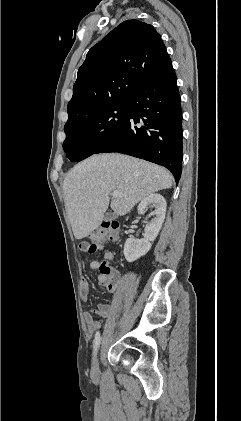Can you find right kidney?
<instances>
[{
	"instance_id": "1",
	"label": "right kidney",
	"mask_w": 241,
	"mask_h": 421,
	"mask_svg": "<svg viewBox=\"0 0 241 421\" xmlns=\"http://www.w3.org/2000/svg\"><path fill=\"white\" fill-rule=\"evenodd\" d=\"M166 201L160 194H150L137 207L138 214H144L148 207L155 208L154 218L146 224L144 238H128L124 245V256L128 262H134L144 256L156 239L166 214Z\"/></svg>"
}]
</instances>
